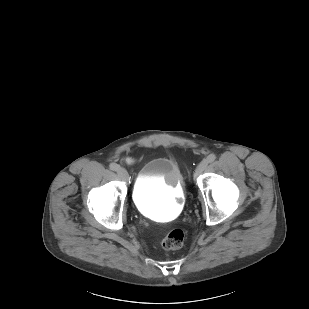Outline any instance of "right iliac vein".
Segmentation results:
<instances>
[{"mask_svg": "<svg viewBox=\"0 0 309 309\" xmlns=\"http://www.w3.org/2000/svg\"><path fill=\"white\" fill-rule=\"evenodd\" d=\"M118 176L120 177V179H122L123 181H127L128 180V173L124 168L119 167L117 170Z\"/></svg>", "mask_w": 309, "mask_h": 309, "instance_id": "right-iliac-vein-1", "label": "right iliac vein"}]
</instances>
